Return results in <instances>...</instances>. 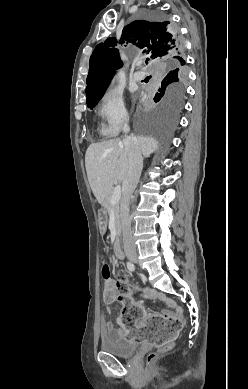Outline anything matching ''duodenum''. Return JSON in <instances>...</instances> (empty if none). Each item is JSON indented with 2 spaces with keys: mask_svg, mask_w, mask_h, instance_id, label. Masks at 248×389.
<instances>
[{
  "mask_svg": "<svg viewBox=\"0 0 248 389\" xmlns=\"http://www.w3.org/2000/svg\"><path fill=\"white\" fill-rule=\"evenodd\" d=\"M114 253H115L116 258H118V259H123L124 258V253H123V250H122L121 243H120L119 239H117V241L115 243Z\"/></svg>",
  "mask_w": 248,
  "mask_h": 389,
  "instance_id": "obj_1",
  "label": "duodenum"
}]
</instances>
